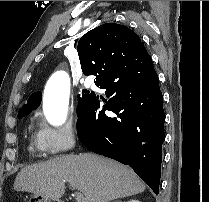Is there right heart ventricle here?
<instances>
[{"instance_id": "obj_1", "label": "right heart ventricle", "mask_w": 209, "mask_h": 202, "mask_svg": "<svg viewBox=\"0 0 209 202\" xmlns=\"http://www.w3.org/2000/svg\"><path fill=\"white\" fill-rule=\"evenodd\" d=\"M30 153L32 156H41L42 151L37 145L36 136L31 137Z\"/></svg>"}]
</instances>
